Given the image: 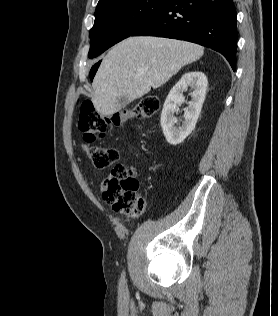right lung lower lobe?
<instances>
[{
    "label": "right lung lower lobe",
    "mask_w": 278,
    "mask_h": 316,
    "mask_svg": "<svg viewBox=\"0 0 278 316\" xmlns=\"http://www.w3.org/2000/svg\"><path fill=\"white\" fill-rule=\"evenodd\" d=\"M132 36L194 42L221 53L236 70L237 26L233 0H165L158 12Z\"/></svg>",
    "instance_id": "98d812e1"
}]
</instances>
